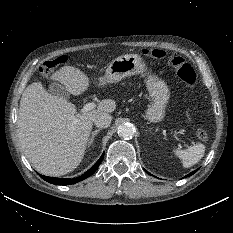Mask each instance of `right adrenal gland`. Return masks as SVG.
Here are the masks:
<instances>
[{"instance_id": "right-adrenal-gland-1", "label": "right adrenal gland", "mask_w": 233, "mask_h": 233, "mask_svg": "<svg viewBox=\"0 0 233 233\" xmlns=\"http://www.w3.org/2000/svg\"><path fill=\"white\" fill-rule=\"evenodd\" d=\"M100 131H101V129H97V130H95V131L92 132V136H91V138H89V140H88V147L91 146V144H92L93 141H94V138L96 137V135H97Z\"/></svg>"}]
</instances>
